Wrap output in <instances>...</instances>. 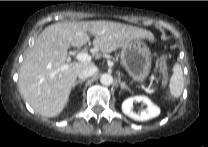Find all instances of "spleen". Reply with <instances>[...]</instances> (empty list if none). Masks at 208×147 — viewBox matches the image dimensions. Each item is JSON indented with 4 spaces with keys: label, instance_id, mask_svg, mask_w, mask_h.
Listing matches in <instances>:
<instances>
[{
    "label": "spleen",
    "instance_id": "obj_1",
    "mask_svg": "<svg viewBox=\"0 0 208 147\" xmlns=\"http://www.w3.org/2000/svg\"><path fill=\"white\" fill-rule=\"evenodd\" d=\"M172 71L173 74L169 84L170 93L173 97H179L184 89V78L181 65L179 63L174 64Z\"/></svg>",
    "mask_w": 208,
    "mask_h": 147
}]
</instances>
